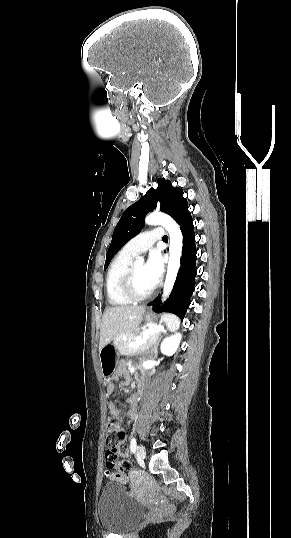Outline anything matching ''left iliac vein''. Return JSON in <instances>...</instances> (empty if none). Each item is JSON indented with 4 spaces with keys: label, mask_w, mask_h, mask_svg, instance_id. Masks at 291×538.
Masks as SVG:
<instances>
[{
    "label": "left iliac vein",
    "mask_w": 291,
    "mask_h": 538,
    "mask_svg": "<svg viewBox=\"0 0 291 538\" xmlns=\"http://www.w3.org/2000/svg\"><path fill=\"white\" fill-rule=\"evenodd\" d=\"M136 456H137V459L140 460V461H143L145 459L146 452H145V449L142 446L137 447Z\"/></svg>",
    "instance_id": "obj_1"
}]
</instances>
